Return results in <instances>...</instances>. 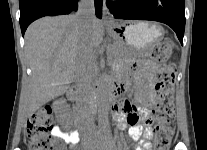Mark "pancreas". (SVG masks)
<instances>
[{
    "instance_id": "cf45deb5",
    "label": "pancreas",
    "mask_w": 207,
    "mask_h": 150,
    "mask_svg": "<svg viewBox=\"0 0 207 150\" xmlns=\"http://www.w3.org/2000/svg\"><path fill=\"white\" fill-rule=\"evenodd\" d=\"M121 52V48L115 47L111 49V53L109 54V59L112 62H116L119 59V54Z\"/></svg>"
}]
</instances>
